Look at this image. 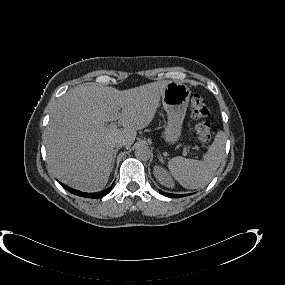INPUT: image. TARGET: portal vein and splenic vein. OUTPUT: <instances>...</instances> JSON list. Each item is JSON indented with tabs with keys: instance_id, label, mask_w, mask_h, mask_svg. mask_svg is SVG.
<instances>
[{
	"instance_id": "18ae733b",
	"label": "portal vein and splenic vein",
	"mask_w": 285,
	"mask_h": 285,
	"mask_svg": "<svg viewBox=\"0 0 285 285\" xmlns=\"http://www.w3.org/2000/svg\"><path fill=\"white\" fill-rule=\"evenodd\" d=\"M110 127H116L117 126V122H112L109 124ZM183 155L186 156L187 155V151L183 150Z\"/></svg>"
}]
</instances>
